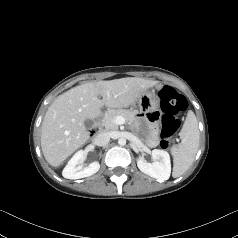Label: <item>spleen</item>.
Segmentation results:
<instances>
[{
    "label": "spleen",
    "mask_w": 238,
    "mask_h": 238,
    "mask_svg": "<svg viewBox=\"0 0 238 238\" xmlns=\"http://www.w3.org/2000/svg\"><path fill=\"white\" fill-rule=\"evenodd\" d=\"M199 129L195 114L189 111L180 131L181 143L171 148L173 177L183 175L192 165L199 147Z\"/></svg>",
    "instance_id": "spleen-1"
}]
</instances>
